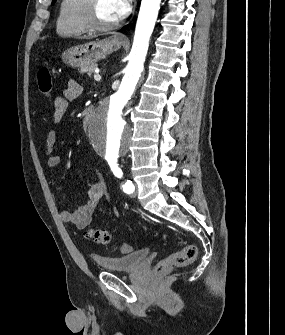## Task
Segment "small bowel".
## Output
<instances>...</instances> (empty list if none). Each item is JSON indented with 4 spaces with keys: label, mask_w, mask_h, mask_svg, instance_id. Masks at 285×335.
<instances>
[{
    "label": "small bowel",
    "mask_w": 285,
    "mask_h": 335,
    "mask_svg": "<svg viewBox=\"0 0 285 335\" xmlns=\"http://www.w3.org/2000/svg\"><path fill=\"white\" fill-rule=\"evenodd\" d=\"M81 92L82 88L77 82L70 81L68 83L62 95L56 98L54 102L53 122L55 124L64 116L68 103L76 99ZM56 138L57 132L55 130H50L45 138L44 148L48 155V166L50 168H57L61 164V157L55 153ZM85 176L91 183L85 203L73 211L62 210L60 212L63 221L75 225L78 229H85L89 226L95 210L109 198L107 184L101 175L87 171ZM115 213L117 214V212Z\"/></svg>",
    "instance_id": "small-bowel-1"
}]
</instances>
